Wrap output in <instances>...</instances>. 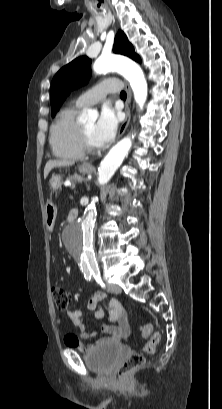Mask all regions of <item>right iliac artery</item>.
Here are the masks:
<instances>
[{
    "label": "right iliac artery",
    "mask_w": 222,
    "mask_h": 409,
    "mask_svg": "<svg viewBox=\"0 0 222 409\" xmlns=\"http://www.w3.org/2000/svg\"><path fill=\"white\" fill-rule=\"evenodd\" d=\"M93 275V272L92 271H88V272H86L85 274H84V277H85V279H87V280H91V276Z\"/></svg>",
    "instance_id": "obj_1"
}]
</instances>
